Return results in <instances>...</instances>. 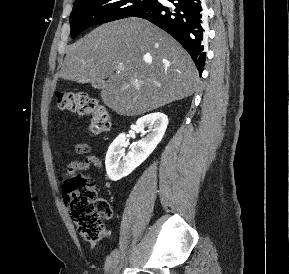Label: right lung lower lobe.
<instances>
[{"label": "right lung lower lobe", "instance_id": "98d812e1", "mask_svg": "<svg viewBox=\"0 0 289 274\" xmlns=\"http://www.w3.org/2000/svg\"><path fill=\"white\" fill-rule=\"evenodd\" d=\"M167 6L155 0L135 17L146 19L172 35L190 54L199 73L203 71L205 17L201 0H167Z\"/></svg>", "mask_w": 289, "mask_h": 274}]
</instances>
